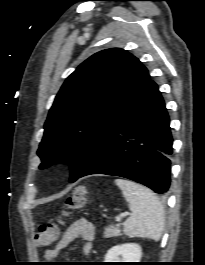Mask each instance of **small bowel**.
<instances>
[{"instance_id":"1","label":"small bowel","mask_w":205,"mask_h":265,"mask_svg":"<svg viewBox=\"0 0 205 265\" xmlns=\"http://www.w3.org/2000/svg\"><path fill=\"white\" fill-rule=\"evenodd\" d=\"M94 235V226L90 221L86 219L76 220L67 228L55 247L45 252L44 257L47 261L58 259L61 251L77 238L83 240L82 251L85 255H88L92 249Z\"/></svg>"}]
</instances>
